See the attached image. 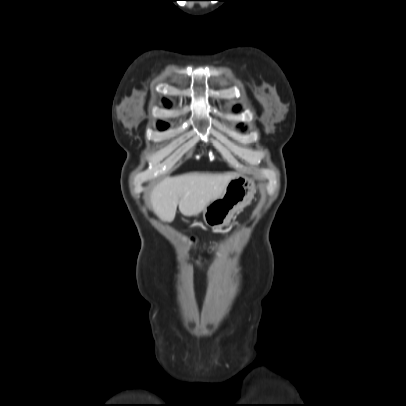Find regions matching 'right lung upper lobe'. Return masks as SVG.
<instances>
[{
    "instance_id": "right-lung-upper-lobe-1",
    "label": "right lung upper lobe",
    "mask_w": 406,
    "mask_h": 406,
    "mask_svg": "<svg viewBox=\"0 0 406 406\" xmlns=\"http://www.w3.org/2000/svg\"><path fill=\"white\" fill-rule=\"evenodd\" d=\"M164 103H165L166 106H170V102H169V101L164 100ZM159 124H165V123L159 122Z\"/></svg>"
}]
</instances>
